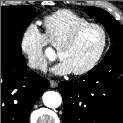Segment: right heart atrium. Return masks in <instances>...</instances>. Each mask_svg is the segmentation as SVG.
<instances>
[{"label":"right heart atrium","instance_id":"right-heart-atrium-1","mask_svg":"<svg viewBox=\"0 0 123 123\" xmlns=\"http://www.w3.org/2000/svg\"><path fill=\"white\" fill-rule=\"evenodd\" d=\"M20 50L30 68L44 71L47 67V39L35 23H29L22 31L19 40Z\"/></svg>","mask_w":123,"mask_h":123}]
</instances>
